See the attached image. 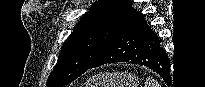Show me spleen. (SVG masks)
I'll return each mask as SVG.
<instances>
[{"label": "spleen", "instance_id": "obj_1", "mask_svg": "<svg viewBox=\"0 0 205 87\" xmlns=\"http://www.w3.org/2000/svg\"><path fill=\"white\" fill-rule=\"evenodd\" d=\"M145 87H161L160 84L155 81L154 78H147L145 82Z\"/></svg>", "mask_w": 205, "mask_h": 87}]
</instances>
